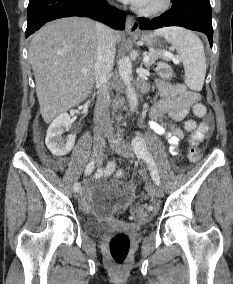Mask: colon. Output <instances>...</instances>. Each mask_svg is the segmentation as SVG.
Returning a JSON list of instances; mask_svg holds the SVG:
<instances>
[{
	"label": "colon",
	"instance_id": "1",
	"mask_svg": "<svg viewBox=\"0 0 233 284\" xmlns=\"http://www.w3.org/2000/svg\"><path fill=\"white\" fill-rule=\"evenodd\" d=\"M156 71L158 75L164 79H172L173 70L167 63L160 62L156 65ZM193 112L198 117H205L207 114L204 105L197 103L193 107ZM196 127V123L193 120H189L185 124L187 131H192ZM188 157L191 161H197L201 157V151L199 148L192 146L188 150ZM103 175L105 177H115L122 179L124 172L116 168L113 162L108 163L103 169ZM149 216V210L146 206H138L133 210V217L138 220L145 219ZM130 249V239L125 233L115 234L109 242V252L113 261L121 265L125 262Z\"/></svg>",
	"mask_w": 233,
	"mask_h": 284
}]
</instances>
